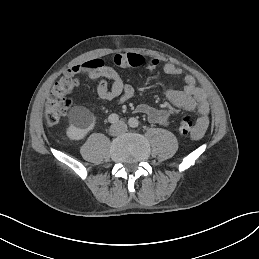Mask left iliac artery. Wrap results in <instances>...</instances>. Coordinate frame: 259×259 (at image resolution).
<instances>
[{
	"label": "left iliac artery",
	"instance_id": "44dca946",
	"mask_svg": "<svg viewBox=\"0 0 259 259\" xmlns=\"http://www.w3.org/2000/svg\"><path fill=\"white\" fill-rule=\"evenodd\" d=\"M128 123H129V126L132 128H136L139 126V121L134 117L130 118Z\"/></svg>",
	"mask_w": 259,
	"mask_h": 259
}]
</instances>
